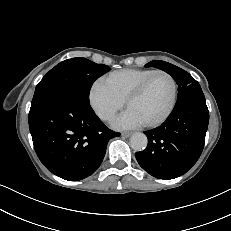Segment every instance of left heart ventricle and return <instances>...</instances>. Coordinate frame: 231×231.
<instances>
[{"instance_id":"1","label":"left heart ventricle","mask_w":231,"mask_h":231,"mask_svg":"<svg viewBox=\"0 0 231 231\" xmlns=\"http://www.w3.org/2000/svg\"><path fill=\"white\" fill-rule=\"evenodd\" d=\"M173 94L171 80L163 75H155L145 87L143 93L127 107L144 123L160 118L169 108Z\"/></svg>"}]
</instances>
